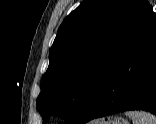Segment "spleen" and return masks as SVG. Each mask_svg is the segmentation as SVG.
<instances>
[{"instance_id": "spleen-1", "label": "spleen", "mask_w": 156, "mask_h": 124, "mask_svg": "<svg viewBox=\"0 0 156 124\" xmlns=\"http://www.w3.org/2000/svg\"><path fill=\"white\" fill-rule=\"evenodd\" d=\"M126 116L132 119V124H156V117L143 111H127Z\"/></svg>"}]
</instances>
